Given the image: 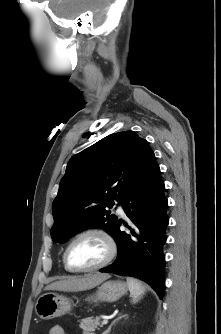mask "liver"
Returning <instances> with one entry per match:
<instances>
[{"instance_id": "1", "label": "liver", "mask_w": 221, "mask_h": 334, "mask_svg": "<svg viewBox=\"0 0 221 334\" xmlns=\"http://www.w3.org/2000/svg\"><path fill=\"white\" fill-rule=\"evenodd\" d=\"M109 277L110 275L107 273L87 274L83 277H74L51 283L45 287V290L83 291L96 287Z\"/></svg>"}]
</instances>
